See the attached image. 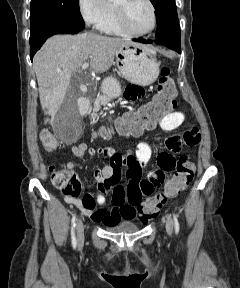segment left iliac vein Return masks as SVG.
<instances>
[{
  "label": "left iliac vein",
  "instance_id": "4c4485c4",
  "mask_svg": "<svg viewBox=\"0 0 240 288\" xmlns=\"http://www.w3.org/2000/svg\"><path fill=\"white\" fill-rule=\"evenodd\" d=\"M173 220L170 215H166V232L171 235L173 232Z\"/></svg>",
  "mask_w": 240,
  "mask_h": 288
}]
</instances>
